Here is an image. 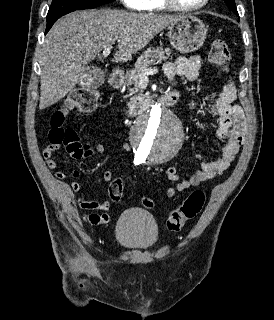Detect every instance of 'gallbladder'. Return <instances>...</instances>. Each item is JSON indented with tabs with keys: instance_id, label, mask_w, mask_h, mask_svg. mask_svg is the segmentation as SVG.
Wrapping results in <instances>:
<instances>
[{
	"instance_id": "gallbladder-1",
	"label": "gallbladder",
	"mask_w": 274,
	"mask_h": 320,
	"mask_svg": "<svg viewBox=\"0 0 274 320\" xmlns=\"http://www.w3.org/2000/svg\"><path fill=\"white\" fill-rule=\"evenodd\" d=\"M104 68H84L83 78L78 79V84L82 85V90H95V85H102L105 82Z\"/></svg>"
}]
</instances>
